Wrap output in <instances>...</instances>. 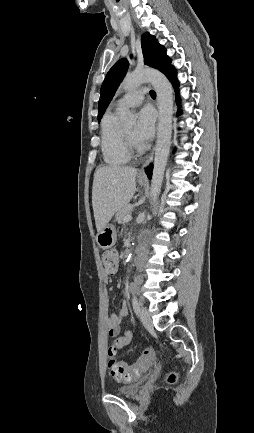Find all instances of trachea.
Returning <instances> with one entry per match:
<instances>
[{
	"label": "trachea",
	"mask_w": 254,
	"mask_h": 433,
	"mask_svg": "<svg viewBox=\"0 0 254 433\" xmlns=\"http://www.w3.org/2000/svg\"><path fill=\"white\" fill-rule=\"evenodd\" d=\"M150 96H151L152 98H156V93H155V91L151 90V91H150Z\"/></svg>",
	"instance_id": "3493384b"
}]
</instances>
